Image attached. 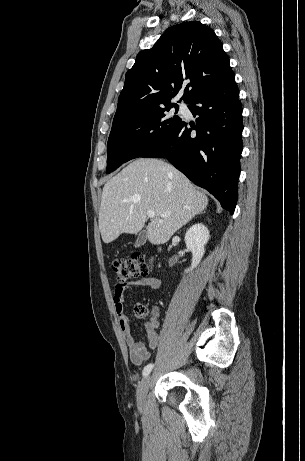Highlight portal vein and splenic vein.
I'll return each mask as SVG.
<instances>
[{
	"mask_svg": "<svg viewBox=\"0 0 305 461\" xmlns=\"http://www.w3.org/2000/svg\"><path fill=\"white\" fill-rule=\"evenodd\" d=\"M168 214H169V213H168ZM168 214H163V215H161V216L164 217V216H166V215H168ZM147 216H148L149 218H154V217H155V212H154L153 210H148V211H147Z\"/></svg>",
	"mask_w": 305,
	"mask_h": 461,
	"instance_id": "1",
	"label": "portal vein and splenic vein"
}]
</instances>
